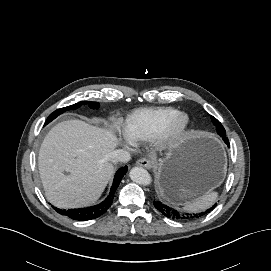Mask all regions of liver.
<instances>
[{
  "mask_svg": "<svg viewBox=\"0 0 271 271\" xmlns=\"http://www.w3.org/2000/svg\"><path fill=\"white\" fill-rule=\"evenodd\" d=\"M118 143L112 131L80 120L55 125L44 138L38 157L47 200L64 209L95 203L114 172L110 153Z\"/></svg>",
  "mask_w": 271,
  "mask_h": 271,
  "instance_id": "obj_1",
  "label": "liver"
}]
</instances>
